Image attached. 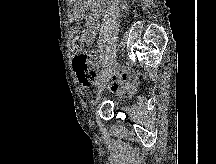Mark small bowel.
Here are the masks:
<instances>
[{
  "instance_id": "c3829d8e",
  "label": "small bowel",
  "mask_w": 216,
  "mask_h": 164,
  "mask_svg": "<svg viewBox=\"0 0 216 164\" xmlns=\"http://www.w3.org/2000/svg\"><path fill=\"white\" fill-rule=\"evenodd\" d=\"M88 21L92 23V27L88 29L85 33V42L90 44L97 32V17L94 15L88 16ZM135 85V77L131 74L129 70L120 69L114 76L113 83L110 86V90L117 92L119 94L129 93Z\"/></svg>"
}]
</instances>
